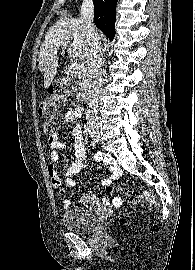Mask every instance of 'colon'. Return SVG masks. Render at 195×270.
I'll return each mask as SVG.
<instances>
[{"instance_id":"5ec220e1","label":"colon","mask_w":195,"mask_h":270,"mask_svg":"<svg viewBox=\"0 0 195 270\" xmlns=\"http://www.w3.org/2000/svg\"><path fill=\"white\" fill-rule=\"evenodd\" d=\"M77 85L78 82L75 79H65L63 82L54 85L51 94L39 104L38 113L45 119L43 122V131L46 134L52 135L54 133V120L59 116V105L72 95ZM119 190L124 191L123 188H119ZM126 197L132 204L145 201L152 207L157 205L156 199L152 195L142 194L136 189L127 190Z\"/></svg>"}]
</instances>
